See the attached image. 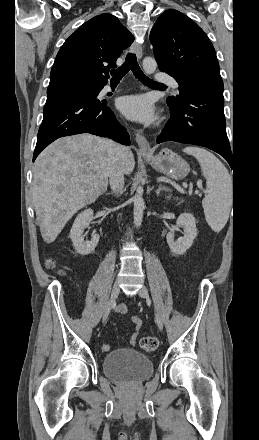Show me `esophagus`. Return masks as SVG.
<instances>
[{"mask_svg":"<svg viewBox=\"0 0 259 440\" xmlns=\"http://www.w3.org/2000/svg\"><path fill=\"white\" fill-rule=\"evenodd\" d=\"M131 51H132V53L136 54V56L139 60L142 58V52H143L142 44H140L138 42H134L131 46ZM134 136H135L136 142L138 144L139 151L144 155L151 154L152 150H151V147H150L148 140L142 134H140L138 132H134Z\"/></svg>","mask_w":259,"mask_h":440,"instance_id":"esophagus-1","label":"esophagus"}]
</instances>
